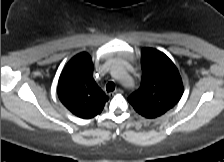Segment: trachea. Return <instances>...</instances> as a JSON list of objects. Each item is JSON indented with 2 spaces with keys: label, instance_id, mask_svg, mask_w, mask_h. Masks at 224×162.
Returning a JSON list of instances; mask_svg holds the SVG:
<instances>
[{
  "label": "trachea",
  "instance_id": "trachea-1",
  "mask_svg": "<svg viewBox=\"0 0 224 162\" xmlns=\"http://www.w3.org/2000/svg\"><path fill=\"white\" fill-rule=\"evenodd\" d=\"M107 92H112L115 90V84L114 82H108L106 85Z\"/></svg>",
  "mask_w": 224,
  "mask_h": 162
}]
</instances>
